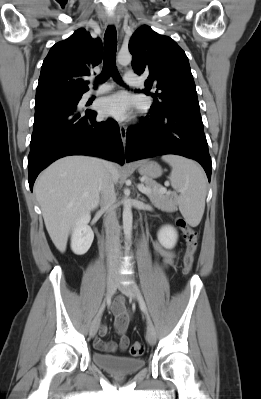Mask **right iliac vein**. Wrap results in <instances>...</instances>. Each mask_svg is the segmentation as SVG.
I'll return each instance as SVG.
<instances>
[{"label": "right iliac vein", "instance_id": "right-iliac-vein-1", "mask_svg": "<svg viewBox=\"0 0 261 399\" xmlns=\"http://www.w3.org/2000/svg\"><path fill=\"white\" fill-rule=\"evenodd\" d=\"M117 276L115 274H109L107 277V293L109 296H111L115 290H116V285H117ZM100 325V315H97L89 328V335L90 337H94L98 331Z\"/></svg>", "mask_w": 261, "mask_h": 399}]
</instances>
